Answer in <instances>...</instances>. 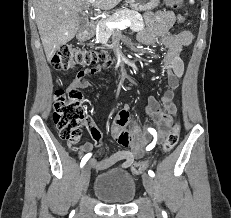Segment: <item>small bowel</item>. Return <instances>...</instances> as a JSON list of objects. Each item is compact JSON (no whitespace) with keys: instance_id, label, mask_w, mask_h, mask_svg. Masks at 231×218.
Returning a JSON list of instances; mask_svg holds the SVG:
<instances>
[{"instance_id":"1","label":"small bowel","mask_w":231,"mask_h":218,"mask_svg":"<svg viewBox=\"0 0 231 218\" xmlns=\"http://www.w3.org/2000/svg\"><path fill=\"white\" fill-rule=\"evenodd\" d=\"M144 18L147 27L138 35V42L143 46L159 44L166 49V54L162 60V67L167 74L170 89L161 95L160 101L150 96L146 107V113L151 118L152 126L150 128H156L157 135L160 136L157 143H160L166 136L177 110L174 100L175 90L178 88L184 73V62L181 58V52L184 47L190 45L192 42V34L186 30L171 33L170 29L175 22V15L171 11L147 12ZM100 66L97 63L94 66H87V69H77L76 72L78 75L73 80L71 86L76 88L89 87L90 83L86 79V76L96 74ZM129 111L130 107L128 105H125L120 110L112 129L114 139L129 149L117 151L102 160L91 159L89 162L90 166L98 170L122 174L136 158L143 155L148 138L145 135L138 136L137 126L127 123ZM87 128L95 146L101 147V131L92 121L88 122ZM70 145L80 155L91 151L93 148V144L90 142L82 144L76 142ZM118 163L120 164L115 167Z\"/></svg>"}]
</instances>
